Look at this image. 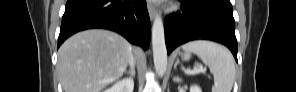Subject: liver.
Returning a JSON list of instances; mask_svg holds the SVG:
<instances>
[{"label":"liver","instance_id":"6515ba94","mask_svg":"<svg viewBox=\"0 0 296 92\" xmlns=\"http://www.w3.org/2000/svg\"><path fill=\"white\" fill-rule=\"evenodd\" d=\"M131 56L130 43L117 33L92 29L73 35L58 50L64 92H100L123 75Z\"/></svg>","mask_w":296,"mask_h":92}]
</instances>
